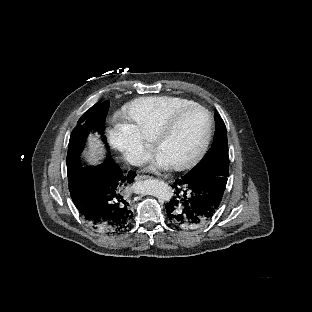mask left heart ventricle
I'll return each mask as SVG.
<instances>
[{"label": "left heart ventricle", "mask_w": 312, "mask_h": 312, "mask_svg": "<svg viewBox=\"0 0 312 312\" xmlns=\"http://www.w3.org/2000/svg\"><path fill=\"white\" fill-rule=\"evenodd\" d=\"M208 133L209 121L203 112L184 113L162 138V151L175 162H188L196 155Z\"/></svg>", "instance_id": "obj_1"}]
</instances>
